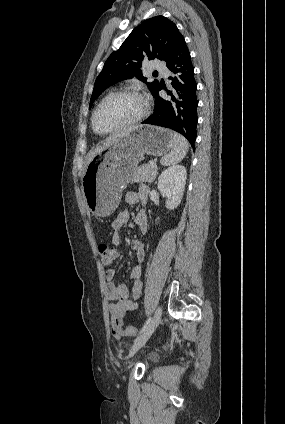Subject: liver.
I'll list each match as a JSON object with an SVG mask.
<instances>
[{
  "mask_svg": "<svg viewBox=\"0 0 285 424\" xmlns=\"http://www.w3.org/2000/svg\"><path fill=\"white\" fill-rule=\"evenodd\" d=\"M133 129H129L125 132L113 134L109 137H107L104 141H102L100 144H98L95 148L91 149L87 156V164L93 159L95 155L100 153L102 150H104L106 147L113 145L117 143L121 138L127 136Z\"/></svg>",
  "mask_w": 285,
  "mask_h": 424,
  "instance_id": "liver-1",
  "label": "liver"
}]
</instances>
